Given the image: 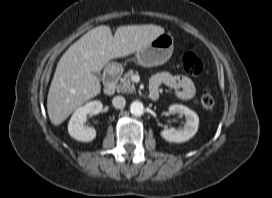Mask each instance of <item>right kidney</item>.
I'll use <instances>...</instances> for the list:
<instances>
[{
	"instance_id": "ca27d5eb",
	"label": "right kidney",
	"mask_w": 272,
	"mask_h": 198,
	"mask_svg": "<svg viewBox=\"0 0 272 198\" xmlns=\"http://www.w3.org/2000/svg\"><path fill=\"white\" fill-rule=\"evenodd\" d=\"M102 109L103 104L97 100L88 102L76 109L68 124L69 135L78 141H92L96 137V130L85 126L87 115H97Z\"/></svg>"
}]
</instances>
